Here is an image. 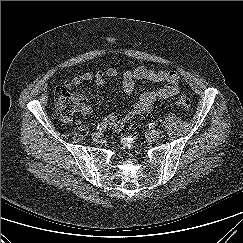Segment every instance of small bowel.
<instances>
[{"label": "small bowel", "instance_id": "c3829d8e", "mask_svg": "<svg viewBox=\"0 0 243 243\" xmlns=\"http://www.w3.org/2000/svg\"><path fill=\"white\" fill-rule=\"evenodd\" d=\"M107 78H120L123 91L126 94L133 92L137 81L146 80L163 84L156 91L143 92L132 108L122 118L118 117L115 113L108 115L105 123L114 129H120L134 117L150 112L156 101L171 98L179 92V75L177 72L171 70H154L145 66H138L134 70H125L122 73L114 67L96 72H84L66 81L65 86L72 88L88 81H94L96 85L102 86L106 83ZM75 99L78 104L77 111L85 116L90 115L92 110L87 104L85 95L76 92Z\"/></svg>", "mask_w": 243, "mask_h": 243}]
</instances>
